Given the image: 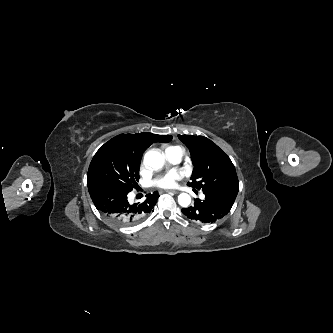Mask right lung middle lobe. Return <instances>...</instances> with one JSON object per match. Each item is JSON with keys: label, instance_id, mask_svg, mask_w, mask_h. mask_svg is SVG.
<instances>
[{"label": "right lung middle lobe", "instance_id": "obj_1", "mask_svg": "<svg viewBox=\"0 0 333 333\" xmlns=\"http://www.w3.org/2000/svg\"><path fill=\"white\" fill-rule=\"evenodd\" d=\"M139 165L123 151L102 146L90 163L87 184L92 181H104L132 191L138 186Z\"/></svg>", "mask_w": 333, "mask_h": 333}]
</instances>
